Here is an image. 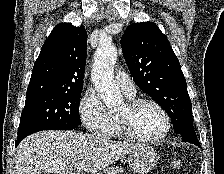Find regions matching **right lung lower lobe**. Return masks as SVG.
Wrapping results in <instances>:
<instances>
[{"label": "right lung lower lobe", "mask_w": 224, "mask_h": 174, "mask_svg": "<svg viewBox=\"0 0 224 174\" xmlns=\"http://www.w3.org/2000/svg\"><path fill=\"white\" fill-rule=\"evenodd\" d=\"M74 128H76V127H66V128L61 129V130H72ZM30 134H32V133L25 132V133H22V134H18L16 145H18L26 136H28Z\"/></svg>", "instance_id": "obj_1"}]
</instances>
